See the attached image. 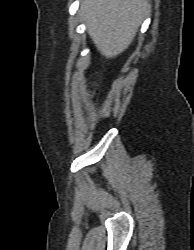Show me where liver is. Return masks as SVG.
I'll use <instances>...</instances> for the list:
<instances>
[{
  "mask_svg": "<svg viewBox=\"0 0 194 250\" xmlns=\"http://www.w3.org/2000/svg\"><path fill=\"white\" fill-rule=\"evenodd\" d=\"M148 7L147 0H83L80 15L98 51L113 58L131 44Z\"/></svg>",
  "mask_w": 194,
  "mask_h": 250,
  "instance_id": "6515ba94",
  "label": "liver"
}]
</instances>
